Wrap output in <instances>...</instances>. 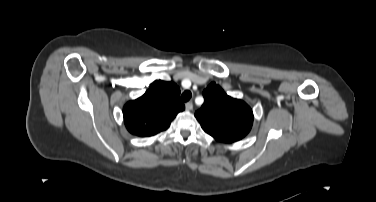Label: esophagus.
Listing matches in <instances>:
<instances>
[{"instance_id": "1", "label": "esophagus", "mask_w": 376, "mask_h": 202, "mask_svg": "<svg viewBox=\"0 0 376 202\" xmlns=\"http://www.w3.org/2000/svg\"><path fill=\"white\" fill-rule=\"evenodd\" d=\"M185 106H186V110H188V111H191L193 109V103L192 102H187L185 104Z\"/></svg>"}]
</instances>
